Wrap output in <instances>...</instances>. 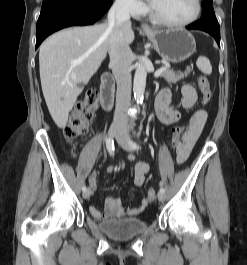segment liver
I'll return each mask as SVG.
<instances>
[{
  "mask_svg": "<svg viewBox=\"0 0 247 265\" xmlns=\"http://www.w3.org/2000/svg\"><path fill=\"white\" fill-rule=\"evenodd\" d=\"M108 24L72 27L51 35L40 46L39 68L43 95L50 115L65 128L69 112L91 77L97 72L109 48ZM127 43L133 30H124Z\"/></svg>",
  "mask_w": 247,
  "mask_h": 265,
  "instance_id": "1",
  "label": "liver"
}]
</instances>
